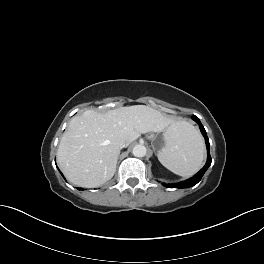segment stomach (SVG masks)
<instances>
[{
    "label": "stomach",
    "mask_w": 264,
    "mask_h": 264,
    "mask_svg": "<svg viewBox=\"0 0 264 264\" xmlns=\"http://www.w3.org/2000/svg\"><path fill=\"white\" fill-rule=\"evenodd\" d=\"M172 133V126L167 128L163 133H155L149 136L151 140V144L155 150L160 149L162 150L164 147L168 145L169 137ZM159 150V151H160Z\"/></svg>",
    "instance_id": "obj_1"
}]
</instances>
